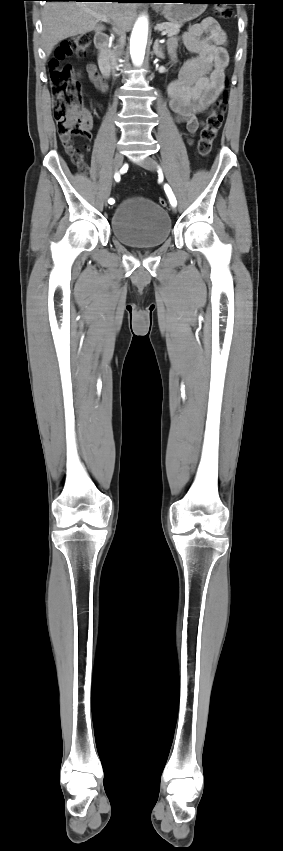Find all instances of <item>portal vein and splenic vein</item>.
Listing matches in <instances>:
<instances>
[{
  "label": "portal vein and splenic vein",
  "instance_id": "portal-vein-and-splenic-vein-1",
  "mask_svg": "<svg viewBox=\"0 0 283 851\" xmlns=\"http://www.w3.org/2000/svg\"><path fill=\"white\" fill-rule=\"evenodd\" d=\"M95 16H96V17H97V19H98V20H100V21H103V22H106V23H109V22H110L109 18H108L106 15H99V14H95ZM161 34L164 36V35H166L167 33H166L165 31H162V33H161Z\"/></svg>",
  "mask_w": 283,
  "mask_h": 851
}]
</instances>
